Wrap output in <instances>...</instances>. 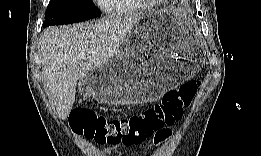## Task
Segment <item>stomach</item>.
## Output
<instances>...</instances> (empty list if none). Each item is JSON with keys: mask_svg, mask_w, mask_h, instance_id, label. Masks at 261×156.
<instances>
[{"mask_svg": "<svg viewBox=\"0 0 261 156\" xmlns=\"http://www.w3.org/2000/svg\"><path fill=\"white\" fill-rule=\"evenodd\" d=\"M202 63L194 26L180 11L166 9L141 16L127 35L125 51L89 71L78 84L106 104L155 102L194 77Z\"/></svg>", "mask_w": 261, "mask_h": 156, "instance_id": "stomach-1", "label": "stomach"}]
</instances>
